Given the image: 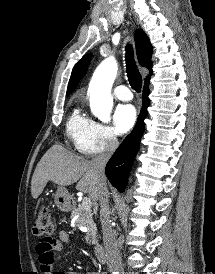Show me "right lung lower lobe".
Returning <instances> with one entry per match:
<instances>
[{"label": "right lung lower lobe", "instance_id": "obj_1", "mask_svg": "<svg viewBox=\"0 0 215 274\" xmlns=\"http://www.w3.org/2000/svg\"><path fill=\"white\" fill-rule=\"evenodd\" d=\"M149 82H145L143 89V105L133 131L124 139L106 165V176L111 184L120 192L125 189L129 171L138 152L140 140L144 133V119L149 105Z\"/></svg>", "mask_w": 215, "mask_h": 274}]
</instances>
